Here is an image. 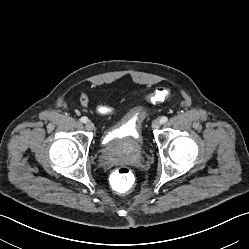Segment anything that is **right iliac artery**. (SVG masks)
Masks as SVG:
<instances>
[{
  "label": "right iliac artery",
  "instance_id": "right-iliac-artery-1",
  "mask_svg": "<svg viewBox=\"0 0 249 249\" xmlns=\"http://www.w3.org/2000/svg\"><path fill=\"white\" fill-rule=\"evenodd\" d=\"M80 121L82 123H86L88 121V118L87 117H81Z\"/></svg>",
  "mask_w": 249,
  "mask_h": 249
}]
</instances>
